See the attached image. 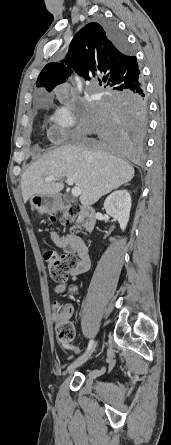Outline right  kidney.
Wrapping results in <instances>:
<instances>
[{
    "mask_svg": "<svg viewBox=\"0 0 171 445\" xmlns=\"http://www.w3.org/2000/svg\"><path fill=\"white\" fill-rule=\"evenodd\" d=\"M106 213L117 220L122 230L126 229L131 209V196L127 190L111 193L104 202ZM113 240V238H110Z\"/></svg>",
    "mask_w": 171,
    "mask_h": 445,
    "instance_id": "1",
    "label": "right kidney"
}]
</instances>
